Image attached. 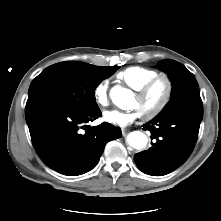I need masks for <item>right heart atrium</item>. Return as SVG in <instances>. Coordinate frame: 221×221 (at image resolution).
<instances>
[{
  "mask_svg": "<svg viewBox=\"0 0 221 221\" xmlns=\"http://www.w3.org/2000/svg\"><path fill=\"white\" fill-rule=\"evenodd\" d=\"M94 97L97 104L106 107L109 104L108 84L106 81L100 82L94 89Z\"/></svg>",
  "mask_w": 221,
  "mask_h": 221,
  "instance_id": "1",
  "label": "right heart atrium"
}]
</instances>
